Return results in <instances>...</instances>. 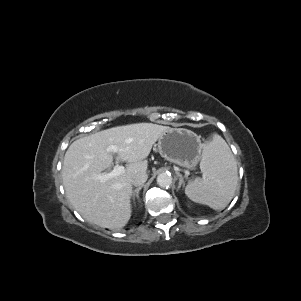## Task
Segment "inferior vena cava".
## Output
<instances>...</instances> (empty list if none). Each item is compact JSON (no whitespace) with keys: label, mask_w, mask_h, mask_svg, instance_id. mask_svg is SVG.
<instances>
[{"label":"inferior vena cava","mask_w":301,"mask_h":301,"mask_svg":"<svg viewBox=\"0 0 301 301\" xmlns=\"http://www.w3.org/2000/svg\"><path fill=\"white\" fill-rule=\"evenodd\" d=\"M147 178L146 171L137 172L132 178V184L136 187L142 186L147 181Z\"/></svg>","instance_id":"602c4592"}]
</instances>
